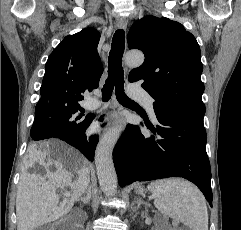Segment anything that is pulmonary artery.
<instances>
[{
	"label": "pulmonary artery",
	"instance_id": "pulmonary-artery-1",
	"mask_svg": "<svg viewBox=\"0 0 241 230\" xmlns=\"http://www.w3.org/2000/svg\"><path fill=\"white\" fill-rule=\"evenodd\" d=\"M128 92L130 97L143 103L150 112L152 118L155 119V113L153 109V98L144 90H142L138 85L135 84H129ZM85 106L86 108L93 110L99 108L101 106V102L96 98H91L89 101L86 102Z\"/></svg>",
	"mask_w": 241,
	"mask_h": 230
}]
</instances>
